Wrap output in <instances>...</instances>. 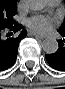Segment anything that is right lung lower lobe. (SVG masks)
Returning <instances> with one entry per match:
<instances>
[{
  "label": "right lung lower lobe",
  "instance_id": "right-lung-lower-lobe-1",
  "mask_svg": "<svg viewBox=\"0 0 65 89\" xmlns=\"http://www.w3.org/2000/svg\"><path fill=\"white\" fill-rule=\"evenodd\" d=\"M21 25L15 24L8 30L0 29V71L10 68L16 61L20 41L27 35L26 30L21 32ZM5 31L10 32L5 36ZM13 33L16 36L10 37Z\"/></svg>",
  "mask_w": 65,
  "mask_h": 89
}]
</instances>
